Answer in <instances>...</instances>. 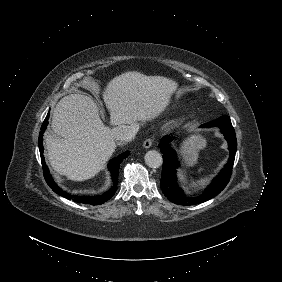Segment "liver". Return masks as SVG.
Listing matches in <instances>:
<instances>
[{"label": "liver", "instance_id": "1", "mask_svg": "<svg viewBox=\"0 0 282 282\" xmlns=\"http://www.w3.org/2000/svg\"><path fill=\"white\" fill-rule=\"evenodd\" d=\"M177 83L163 76L125 72L106 86L103 99L112 125L154 119L169 105ZM52 129L60 137L46 136L53 169L68 179L82 181L95 176L115 151L113 130L106 127L97 107L87 96L63 97L53 113Z\"/></svg>", "mask_w": 282, "mask_h": 282}]
</instances>
